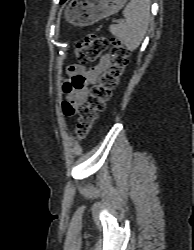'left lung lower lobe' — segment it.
Segmentation results:
<instances>
[{
	"label": "left lung lower lobe",
	"mask_w": 194,
	"mask_h": 250,
	"mask_svg": "<svg viewBox=\"0 0 194 250\" xmlns=\"http://www.w3.org/2000/svg\"><path fill=\"white\" fill-rule=\"evenodd\" d=\"M65 1H66V0H61V2H60V3L62 4V3H64Z\"/></svg>",
	"instance_id": "1"
}]
</instances>
